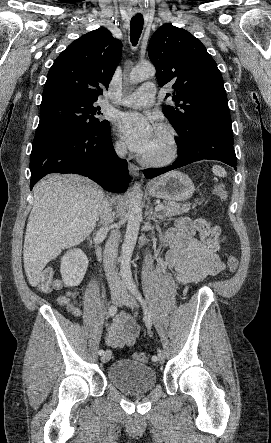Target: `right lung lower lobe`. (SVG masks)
Listing matches in <instances>:
<instances>
[{"label": "right lung lower lobe", "instance_id": "98d812e1", "mask_svg": "<svg viewBox=\"0 0 271 443\" xmlns=\"http://www.w3.org/2000/svg\"><path fill=\"white\" fill-rule=\"evenodd\" d=\"M30 170L31 190L49 173L87 176L111 192H124L130 182L127 161L114 151L110 125L93 132L62 126L36 132Z\"/></svg>", "mask_w": 271, "mask_h": 443}]
</instances>
